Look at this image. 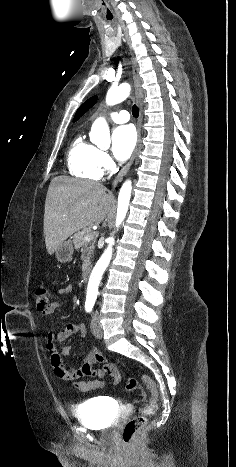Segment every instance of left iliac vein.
Wrapping results in <instances>:
<instances>
[{"label":"left iliac vein","instance_id":"1","mask_svg":"<svg viewBox=\"0 0 236 467\" xmlns=\"http://www.w3.org/2000/svg\"><path fill=\"white\" fill-rule=\"evenodd\" d=\"M91 330H92L93 335L96 338L98 339L102 338L103 331H102V326L98 320L97 313H93L92 320H91Z\"/></svg>","mask_w":236,"mask_h":467}]
</instances>
